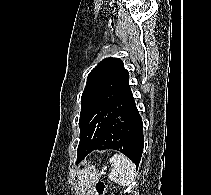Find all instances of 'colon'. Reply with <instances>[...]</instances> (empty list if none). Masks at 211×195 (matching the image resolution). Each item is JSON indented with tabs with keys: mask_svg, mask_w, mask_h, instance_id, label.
I'll use <instances>...</instances> for the list:
<instances>
[{
	"mask_svg": "<svg viewBox=\"0 0 211 195\" xmlns=\"http://www.w3.org/2000/svg\"><path fill=\"white\" fill-rule=\"evenodd\" d=\"M106 185L103 181H97L94 184V191L96 193V195H104V193L106 192Z\"/></svg>",
	"mask_w": 211,
	"mask_h": 195,
	"instance_id": "obj_1",
	"label": "colon"
}]
</instances>
